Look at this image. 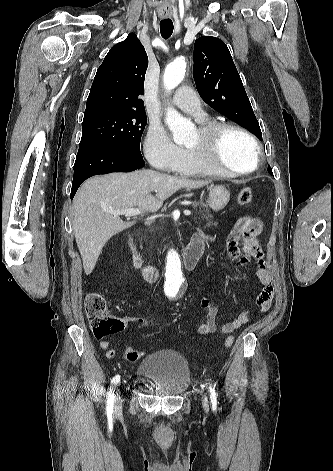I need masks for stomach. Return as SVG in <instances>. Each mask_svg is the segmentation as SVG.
Instances as JSON below:
<instances>
[{"instance_id":"1","label":"stomach","mask_w":333,"mask_h":471,"mask_svg":"<svg viewBox=\"0 0 333 471\" xmlns=\"http://www.w3.org/2000/svg\"><path fill=\"white\" fill-rule=\"evenodd\" d=\"M230 192L223 185H216L210 188L208 195V206L214 211H220L228 204Z\"/></svg>"}]
</instances>
